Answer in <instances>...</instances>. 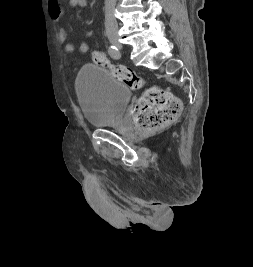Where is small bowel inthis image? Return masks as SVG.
Returning a JSON list of instances; mask_svg holds the SVG:
<instances>
[{
    "label": "small bowel",
    "mask_w": 253,
    "mask_h": 267,
    "mask_svg": "<svg viewBox=\"0 0 253 267\" xmlns=\"http://www.w3.org/2000/svg\"><path fill=\"white\" fill-rule=\"evenodd\" d=\"M68 4L72 8H83L87 4V0H68ZM48 8L50 15L55 20H60L62 17V10L60 7L59 0H48ZM58 41L63 46V49L66 53H72L75 50V46L68 39L67 31L64 27H59L57 33Z\"/></svg>",
    "instance_id": "1"
}]
</instances>
